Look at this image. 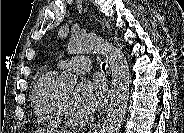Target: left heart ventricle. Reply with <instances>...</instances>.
<instances>
[{"instance_id": "b2bd125f", "label": "left heart ventricle", "mask_w": 184, "mask_h": 133, "mask_svg": "<svg viewBox=\"0 0 184 133\" xmlns=\"http://www.w3.org/2000/svg\"><path fill=\"white\" fill-rule=\"evenodd\" d=\"M63 96H64L69 102H71L72 96H73V91H72V90L65 91V92H63Z\"/></svg>"}]
</instances>
